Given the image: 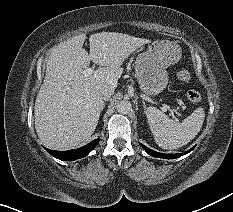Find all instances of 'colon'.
Wrapping results in <instances>:
<instances>
[{"label":"colon","instance_id":"1","mask_svg":"<svg viewBox=\"0 0 233 212\" xmlns=\"http://www.w3.org/2000/svg\"><path fill=\"white\" fill-rule=\"evenodd\" d=\"M177 78L182 82H189L191 80V74L187 70H180L177 72ZM186 96L187 99L194 104H199L201 102V95L195 90H189Z\"/></svg>","mask_w":233,"mask_h":212}]
</instances>
